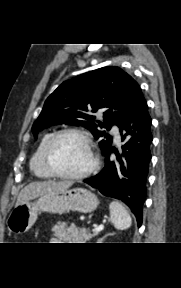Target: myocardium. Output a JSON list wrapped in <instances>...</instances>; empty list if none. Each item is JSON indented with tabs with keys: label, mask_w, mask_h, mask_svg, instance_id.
Wrapping results in <instances>:
<instances>
[{
	"label": "myocardium",
	"mask_w": 181,
	"mask_h": 288,
	"mask_svg": "<svg viewBox=\"0 0 181 288\" xmlns=\"http://www.w3.org/2000/svg\"><path fill=\"white\" fill-rule=\"evenodd\" d=\"M66 135H76L80 137L85 142L89 150L90 159H91L90 164L85 170L79 173H74V174L65 173L59 170L53 162L52 154H53L54 147L57 144V142ZM43 158H44L45 166L54 176L63 178V179H70V180L83 179L89 176L91 173L94 172V170L98 167V164H99V160L94 150V144H93L90 134L78 128H66L53 134V136L51 137V139L49 140L45 148Z\"/></svg>",
	"instance_id": "f54148a6"
}]
</instances>
